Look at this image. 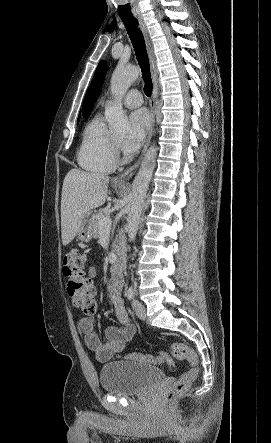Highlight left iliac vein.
Here are the masks:
<instances>
[{"mask_svg":"<svg viewBox=\"0 0 271 443\" xmlns=\"http://www.w3.org/2000/svg\"><path fill=\"white\" fill-rule=\"evenodd\" d=\"M133 310L138 318L141 320L146 319V309L145 306L137 299L132 301Z\"/></svg>","mask_w":271,"mask_h":443,"instance_id":"left-iliac-vein-1","label":"left iliac vein"}]
</instances>
